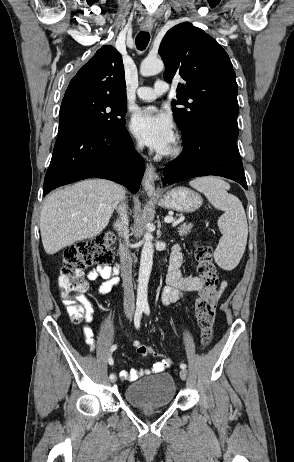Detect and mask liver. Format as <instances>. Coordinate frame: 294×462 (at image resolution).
Segmentation results:
<instances>
[{"mask_svg":"<svg viewBox=\"0 0 294 462\" xmlns=\"http://www.w3.org/2000/svg\"><path fill=\"white\" fill-rule=\"evenodd\" d=\"M124 194L121 185L105 179L85 180L52 193L40 216L45 252L55 254L100 234Z\"/></svg>","mask_w":294,"mask_h":462,"instance_id":"1","label":"liver"}]
</instances>
